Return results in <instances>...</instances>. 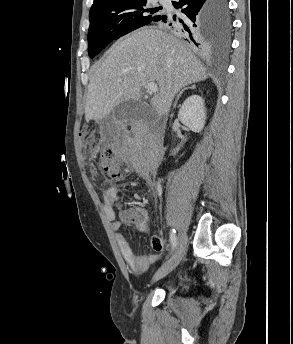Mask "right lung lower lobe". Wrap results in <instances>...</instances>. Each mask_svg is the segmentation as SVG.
<instances>
[{"label":"right lung lower lobe","mask_w":293,"mask_h":344,"mask_svg":"<svg viewBox=\"0 0 293 344\" xmlns=\"http://www.w3.org/2000/svg\"><path fill=\"white\" fill-rule=\"evenodd\" d=\"M215 2L216 0H176L172 3L175 8L181 9V14L173 17L161 16L157 21L170 26L179 36L192 41L201 50L211 51L224 45L225 37L228 45L231 31L230 20L224 38L216 27L213 20Z\"/></svg>","instance_id":"1"}]
</instances>
